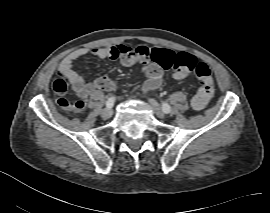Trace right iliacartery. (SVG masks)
<instances>
[{
	"instance_id": "1",
	"label": "right iliac artery",
	"mask_w": 270,
	"mask_h": 213,
	"mask_svg": "<svg viewBox=\"0 0 270 213\" xmlns=\"http://www.w3.org/2000/svg\"><path fill=\"white\" fill-rule=\"evenodd\" d=\"M114 101H115L114 97L109 98L108 101L106 102V107L112 108L114 105Z\"/></svg>"
}]
</instances>
